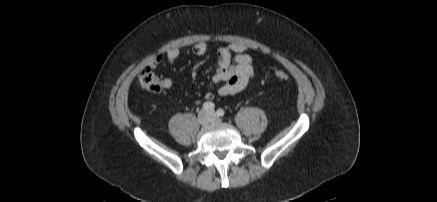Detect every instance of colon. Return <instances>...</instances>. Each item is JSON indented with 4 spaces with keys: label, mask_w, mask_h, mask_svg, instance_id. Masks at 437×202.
Segmentation results:
<instances>
[{
    "label": "colon",
    "mask_w": 437,
    "mask_h": 202,
    "mask_svg": "<svg viewBox=\"0 0 437 202\" xmlns=\"http://www.w3.org/2000/svg\"><path fill=\"white\" fill-rule=\"evenodd\" d=\"M274 75L281 81H286L289 79L288 73L283 70H276ZM138 80L143 89L151 92H159L163 86V82L150 66H146L140 71Z\"/></svg>",
    "instance_id": "5ec220e1"
}]
</instances>
